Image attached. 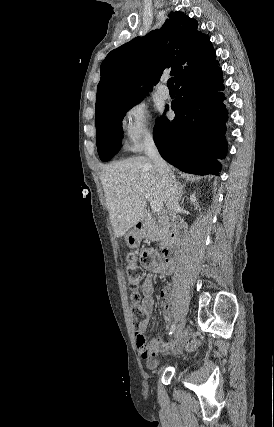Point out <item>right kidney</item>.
<instances>
[{
  "instance_id": "1",
  "label": "right kidney",
  "mask_w": 274,
  "mask_h": 427,
  "mask_svg": "<svg viewBox=\"0 0 274 427\" xmlns=\"http://www.w3.org/2000/svg\"><path fill=\"white\" fill-rule=\"evenodd\" d=\"M190 200H191L192 204H194V206H196V208H199V206L197 204V200L195 198V194H192Z\"/></svg>"
}]
</instances>
